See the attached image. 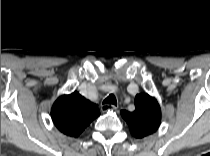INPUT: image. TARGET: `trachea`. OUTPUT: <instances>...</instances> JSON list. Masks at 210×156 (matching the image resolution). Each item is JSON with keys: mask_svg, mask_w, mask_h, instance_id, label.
<instances>
[{"mask_svg": "<svg viewBox=\"0 0 210 156\" xmlns=\"http://www.w3.org/2000/svg\"><path fill=\"white\" fill-rule=\"evenodd\" d=\"M112 104V105H117V100L116 97L113 94H110L104 101L103 104Z\"/></svg>", "mask_w": 210, "mask_h": 156, "instance_id": "3493384b", "label": "trachea"}]
</instances>
